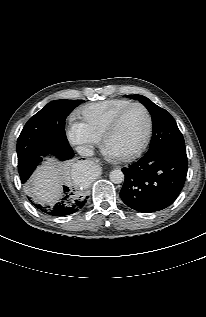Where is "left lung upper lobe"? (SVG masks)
Returning a JSON list of instances; mask_svg holds the SVG:
<instances>
[{"mask_svg": "<svg viewBox=\"0 0 206 317\" xmlns=\"http://www.w3.org/2000/svg\"><path fill=\"white\" fill-rule=\"evenodd\" d=\"M127 96L139 100L151 113L153 136L147 153L164 149L186 152L184 138L169 112L157 106L145 96L138 94Z\"/></svg>", "mask_w": 206, "mask_h": 317, "instance_id": "obj_1", "label": "left lung upper lobe"}]
</instances>
